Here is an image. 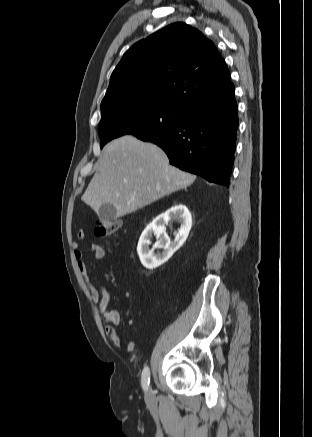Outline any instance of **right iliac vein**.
<instances>
[{"label": "right iliac vein", "instance_id": "right-iliac-vein-1", "mask_svg": "<svg viewBox=\"0 0 312 437\" xmlns=\"http://www.w3.org/2000/svg\"><path fill=\"white\" fill-rule=\"evenodd\" d=\"M145 397H146V400H147L148 403L152 402L153 395H152L150 390L148 392H146V396Z\"/></svg>", "mask_w": 312, "mask_h": 437}]
</instances>
